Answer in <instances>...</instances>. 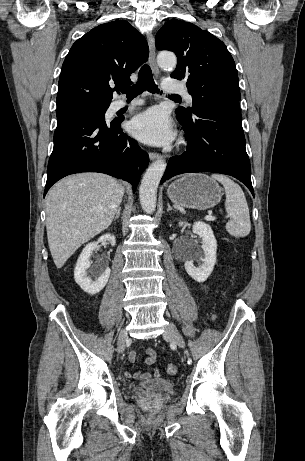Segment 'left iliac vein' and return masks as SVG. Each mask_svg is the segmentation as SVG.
<instances>
[{"mask_svg": "<svg viewBox=\"0 0 305 461\" xmlns=\"http://www.w3.org/2000/svg\"><path fill=\"white\" fill-rule=\"evenodd\" d=\"M163 336L171 339L172 342L175 343L178 347H185V342L182 335L172 322H170L167 328L165 329Z\"/></svg>", "mask_w": 305, "mask_h": 461, "instance_id": "obj_1", "label": "left iliac vein"}]
</instances>
